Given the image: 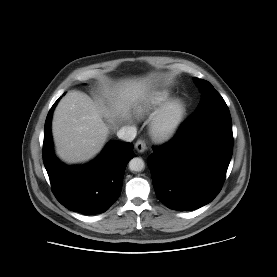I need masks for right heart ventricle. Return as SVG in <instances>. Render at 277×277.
Listing matches in <instances>:
<instances>
[{
	"label": "right heart ventricle",
	"instance_id": "e07e8e85",
	"mask_svg": "<svg viewBox=\"0 0 277 277\" xmlns=\"http://www.w3.org/2000/svg\"><path fill=\"white\" fill-rule=\"evenodd\" d=\"M171 93L166 90H158L144 97L136 107V115L140 118L153 116L170 99Z\"/></svg>",
	"mask_w": 277,
	"mask_h": 277
}]
</instances>
